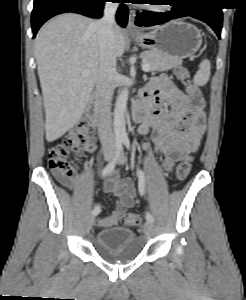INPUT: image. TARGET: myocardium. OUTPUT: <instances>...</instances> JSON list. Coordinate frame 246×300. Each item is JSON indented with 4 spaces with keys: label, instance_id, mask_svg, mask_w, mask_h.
<instances>
[{
    "label": "myocardium",
    "instance_id": "1",
    "mask_svg": "<svg viewBox=\"0 0 246 300\" xmlns=\"http://www.w3.org/2000/svg\"><path fill=\"white\" fill-rule=\"evenodd\" d=\"M164 5H165V6H163V7L160 8V9H157V10L165 11V10H167V9L170 7L169 4H164Z\"/></svg>",
    "mask_w": 246,
    "mask_h": 300
}]
</instances>
